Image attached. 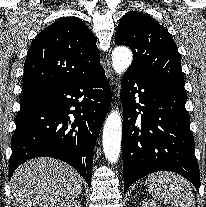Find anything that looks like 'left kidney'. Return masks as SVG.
Masks as SVG:
<instances>
[{
    "label": "left kidney",
    "mask_w": 206,
    "mask_h": 207,
    "mask_svg": "<svg viewBox=\"0 0 206 207\" xmlns=\"http://www.w3.org/2000/svg\"><path fill=\"white\" fill-rule=\"evenodd\" d=\"M141 207H159L157 204L151 199H145L142 203Z\"/></svg>",
    "instance_id": "obj_1"
}]
</instances>
